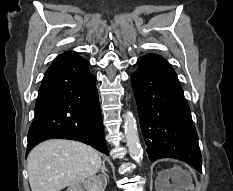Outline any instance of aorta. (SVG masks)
Listing matches in <instances>:
<instances>
[{
    "label": "aorta",
    "instance_id": "obj_1",
    "mask_svg": "<svg viewBox=\"0 0 233 191\" xmlns=\"http://www.w3.org/2000/svg\"><path fill=\"white\" fill-rule=\"evenodd\" d=\"M124 127L129 154L133 160L140 163L143 157V149L139 141L136 119L130 111H127L124 115Z\"/></svg>",
    "mask_w": 233,
    "mask_h": 191
}]
</instances>
